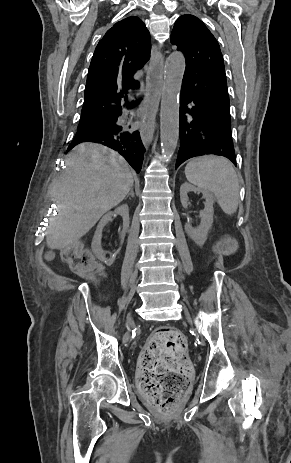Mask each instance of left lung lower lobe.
<instances>
[{"label": "left lung lower lobe", "instance_id": "obj_1", "mask_svg": "<svg viewBox=\"0 0 291 463\" xmlns=\"http://www.w3.org/2000/svg\"><path fill=\"white\" fill-rule=\"evenodd\" d=\"M189 103L191 108L187 107ZM179 137L176 169L184 161L202 155L224 156L236 165L230 117L211 110L197 97L184 91H181L180 97Z\"/></svg>", "mask_w": 291, "mask_h": 463}]
</instances>
